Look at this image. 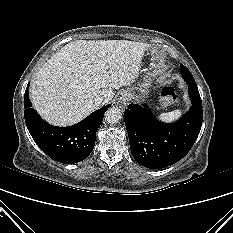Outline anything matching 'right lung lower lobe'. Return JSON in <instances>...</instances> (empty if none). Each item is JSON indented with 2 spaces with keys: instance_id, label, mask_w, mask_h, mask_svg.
I'll use <instances>...</instances> for the list:
<instances>
[{
  "instance_id": "obj_1",
  "label": "right lung lower lobe",
  "mask_w": 233,
  "mask_h": 233,
  "mask_svg": "<svg viewBox=\"0 0 233 233\" xmlns=\"http://www.w3.org/2000/svg\"><path fill=\"white\" fill-rule=\"evenodd\" d=\"M28 88L29 84L24 95V118L35 143L51 159L60 163L72 164L84 160L94 148L96 131L110 105L96 110L75 125L57 127L45 122L32 108Z\"/></svg>"
}]
</instances>
